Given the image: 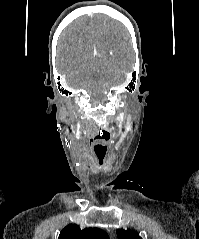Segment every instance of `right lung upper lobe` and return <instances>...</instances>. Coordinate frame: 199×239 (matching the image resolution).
<instances>
[{
    "instance_id": "cb5924a9",
    "label": "right lung upper lobe",
    "mask_w": 199,
    "mask_h": 239,
    "mask_svg": "<svg viewBox=\"0 0 199 239\" xmlns=\"http://www.w3.org/2000/svg\"><path fill=\"white\" fill-rule=\"evenodd\" d=\"M58 239H109L107 233L98 228L80 229L79 226L71 224L66 226Z\"/></svg>"
}]
</instances>
